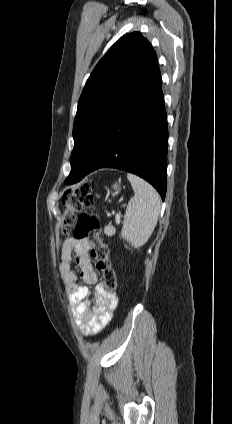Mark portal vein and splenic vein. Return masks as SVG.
Masks as SVG:
<instances>
[{
	"label": "portal vein and splenic vein",
	"mask_w": 232,
	"mask_h": 424,
	"mask_svg": "<svg viewBox=\"0 0 232 424\" xmlns=\"http://www.w3.org/2000/svg\"><path fill=\"white\" fill-rule=\"evenodd\" d=\"M116 218H117V223H119L120 221L119 216L117 215Z\"/></svg>",
	"instance_id": "1"
}]
</instances>
